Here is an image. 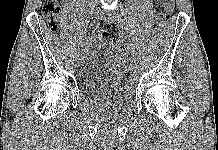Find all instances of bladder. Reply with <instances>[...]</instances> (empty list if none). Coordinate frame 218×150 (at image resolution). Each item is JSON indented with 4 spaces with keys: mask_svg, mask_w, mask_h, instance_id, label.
<instances>
[{
    "mask_svg": "<svg viewBox=\"0 0 218 150\" xmlns=\"http://www.w3.org/2000/svg\"><path fill=\"white\" fill-rule=\"evenodd\" d=\"M78 77L80 88L88 97L107 100L114 96L119 103L125 99L123 76L108 46L99 43L89 46Z\"/></svg>",
    "mask_w": 218,
    "mask_h": 150,
    "instance_id": "bladder-1",
    "label": "bladder"
}]
</instances>
